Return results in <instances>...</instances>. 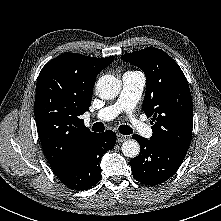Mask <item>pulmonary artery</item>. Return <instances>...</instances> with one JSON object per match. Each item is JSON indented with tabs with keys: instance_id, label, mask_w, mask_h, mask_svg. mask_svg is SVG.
<instances>
[{
	"instance_id": "1",
	"label": "pulmonary artery",
	"mask_w": 221,
	"mask_h": 221,
	"mask_svg": "<svg viewBox=\"0 0 221 221\" xmlns=\"http://www.w3.org/2000/svg\"><path fill=\"white\" fill-rule=\"evenodd\" d=\"M145 76L139 71H127L122 75V89L118 100L99 110L96 118L101 121H110L114 119L122 111L131 112L138 103L144 86ZM133 129L143 136L151 135L150 127L141 120L130 116Z\"/></svg>"
}]
</instances>
